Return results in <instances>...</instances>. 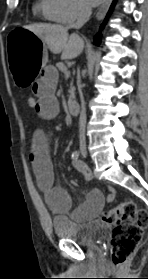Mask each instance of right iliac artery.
Here are the masks:
<instances>
[{
	"label": "right iliac artery",
	"instance_id": "obj_1",
	"mask_svg": "<svg viewBox=\"0 0 148 279\" xmlns=\"http://www.w3.org/2000/svg\"><path fill=\"white\" fill-rule=\"evenodd\" d=\"M78 156H79V152L78 151H75V152H73L72 153V158H78Z\"/></svg>",
	"mask_w": 148,
	"mask_h": 279
}]
</instances>
